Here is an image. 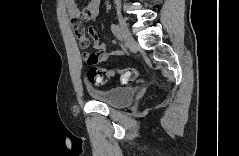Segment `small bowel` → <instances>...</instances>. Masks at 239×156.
<instances>
[{"label": "small bowel", "mask_w": 239, "mask_h": 156, "mask_svg": "<svg viewBox=\"0 0 239 156\" xmlns=\"http://www.w3.org/2000/svg\"><path fill=\"white\" fill-rule=\"evenodd\" d=\"M65 6L67 11L72 15V26L74 33L79 41V45L83 50H86L90 45V39L93 41L96 52L85 53L84 57L88 65L94 66L99 63L106 61L109 57V50L105 43H102L99 38V34L94 27L88 28V38L85 34V31L82 27L81 20L79 19L80 12H85L86 17L84 19L96 21L100 15V0H91L82 11L78 9L75 2L72 0L65 1ZM74 23V24H73ZM76 23V24H75ZM123 52L121 50H115L112 52V55L120 56Z\"/></svg>", "instance_id": "obj_1"}]
</instances>
